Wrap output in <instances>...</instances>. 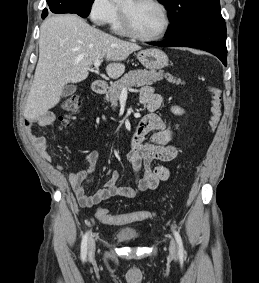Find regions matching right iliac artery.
<instances>
[{"label": "right iliac artery", "mask_w": 259, "mask_h": 283, "mask_svg": "<svg viewBox=\"0 0 259 283\" xmlns=\"http://www.w3.org/2000/svg\"><path fill=\"white\" fill-rule=\"evenodd\" d=\"M88 237H89V233L87 232L83 238H82V242H81V259L84 262L86 260L87 257V242H88Z\"/></svg>", "instance_id": "82829eb1"}]
</instances>
